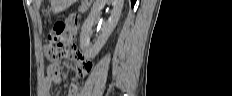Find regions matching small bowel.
<instances>
[{
  "instance_id": "obj_1",
  "label": "small bowel",
  "mask_w": 232,
  "mask_h": 96,
  "mask_svg": "<svg viewBox=\"0 0 232 96\" xmlns=\"http://www.w3.org/2000/svg\"><path fill=\"white\" fill-rule=\"evenodd\" d=\"M65 20L67 21V25H65L66 35L65 38L69 39L68 41L72 43L74 40L77 39L76 32H80V23L82 20V15H80V11H68V15L64 16ZM66 57H74L78 60V66L77 71L80 76L85 75L87 72H89L92 68V63L85 62L83 59V55L78 50H71L66 51ZM63 78V74L60 72V70L54 71L53 66H50L47 70V74L44 78V90L43 93L45 95L50 94V89L53 84H59L61 83ZM79 95V89L78 86L73 85L69 89L68 96H78Z\"/></svg>"
}]
</instances>
